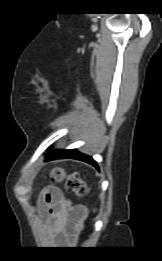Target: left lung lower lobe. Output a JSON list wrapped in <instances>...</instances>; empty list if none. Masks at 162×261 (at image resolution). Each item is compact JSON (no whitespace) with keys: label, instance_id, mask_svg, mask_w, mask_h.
I'll return each instance as SVG.
<instances>
[{"label":"left lung lower lobe","instance_id":"0a47b994","mask_svg":"<svg viewBox=\"0 0 162 261\" xmlns=\"http://www.w3.org/2000/svg\"><path fill=\"white\" fill-rule=\"evenodd\" d=\"M64 158L81 160V161L87 162L98 168V165L96 164V162L93 160L92 157L81 154L76 149L62 150V151L56 150V151L52 152L46 160L49 161V160H53V159H64Z\"/></svg>","mask_w":162,"mask_h":261}]
</instances>
